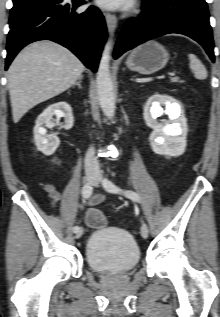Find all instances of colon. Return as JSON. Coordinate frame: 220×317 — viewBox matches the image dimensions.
Segmentation results:
<instances>
[{"label":"colon","mask_w":220,"mask_h":317,"mask_svg":"<svg viewBox=\"0 0 220 317\" xmlns=\"http://www.w3.org/2000/svg\"><path fill=\"white\" fill-rule=\"evenodd\" d=\"M86 223L90 228L98 229L106 225V218L102 212L92 210L86 216Z\"/></svg>","instance_id":"colon-1"}]
</instances>
